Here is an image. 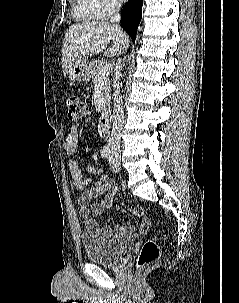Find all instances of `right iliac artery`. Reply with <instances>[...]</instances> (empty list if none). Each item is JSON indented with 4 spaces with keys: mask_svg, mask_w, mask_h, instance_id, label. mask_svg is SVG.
<instances>
[{
    "mask_svg": "<svg viewBox=\"0 0 239 303\" xmlns=\"http://www.w3.org/2000/svg\"><path fill=\"white\" fill-rule=\"evenodd\" d=\"M108 155H109V145H105V146L102 148V150H101V156H102L103 158H107ZM123 174H124V173H123ZM120 183H121V184H124V183H125V180H124V179H121V180H120ZM123 187L125 188V186H123Z\"/></svg>",
    "mask_w": 239,
    "mask_h": 303,
    "instance_id": "right-iliac-artery-1",
    "label": "right iliac artery"
}]
</instances>
